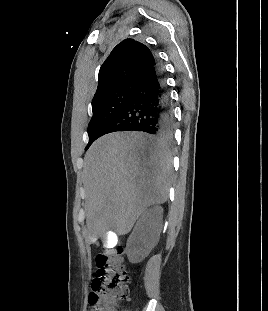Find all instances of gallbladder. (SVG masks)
Wrapping results in <instances>:
<instances>
[{
	"label": "gallbladder",
	"instance_id": "1",
	"mask_svg": "<svg viewBox=\"0 0 268 311\" xmlns=\"http://www.w3.org/2000/svg\"><path fill=\"white\" fill-rule=\"evenodd\" d=\"M103 245L107 249H112L116 245L117 236L115 232H112L111 228L107 229V232L103 233Z\"/></svg>",
	"mask_w": 268,
	"mask_h": 311
}]
</instances>
